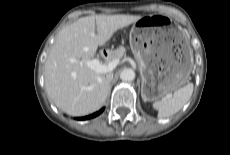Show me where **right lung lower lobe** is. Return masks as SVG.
<instances>
[{
	"label": "right lung lower lobe",
	"instance_id": "1",
	"mask_svg": "<svg viewBox=\"0 0 230 155\" xmlns=\"http://www.w3.org/2000/svg\"><path fill=\"white\" fill-rule=\"evenodd\" d=\"M104 108H102L101 110H99L98 112L94 113V114H91L89 116H85V117H80V118H77L78 120H87V119H90V118H93V117H96L98 116L99 114H101L103 112Z\"/></svg>",
	"mask_w": 230,
	"mask_h": 155
}]
</instances>
